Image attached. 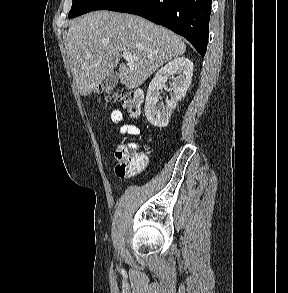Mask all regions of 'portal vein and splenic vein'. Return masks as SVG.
Here are the masks:
<instances>
[{
  "label": "portal vein and splenic vein",
  "instance_id": "portal-vein-and-splenic-vein-1",
  "mask_svg": "<svg viewBox=\"0 0 288 293\" xmlns=\"http://www.w3.org/2000/svg\"><path fill=\"white\" fill-rule=\"evenodd\" d=\"M122 56H123V58L125 59V60H127V61H133V60H137L138 59V57H136V56H133L131 53H129V52H123L122 53Z\"/></svg>",
  "mask_w": 288,
  "mask_h": 293
}]
</instances>
